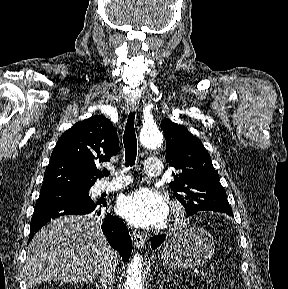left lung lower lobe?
Masks as SVG:
<instances>
[{
	"mask_svg": "<svg viewBox=\"0 0 288 289\" xmlns=\"http://www.w3.org/2000/svg\"><path fill=\"white\" fill-rule=\"evenodd\" d=\"M165 235H159V236H154L152 239H151V247L152 249H156L158 246H160L164 240H165Z\"/></svg>",
	"mask_w": 288,
	"mask_h": 289,
	"instance_id": "left-lung-lower-lobe-1",
	"label": "left lung lower lobe"
}]
</instances>
